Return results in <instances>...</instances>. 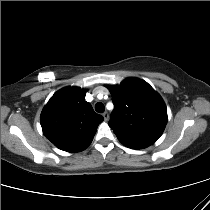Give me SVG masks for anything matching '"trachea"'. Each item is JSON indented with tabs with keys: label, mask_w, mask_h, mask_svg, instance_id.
Returning a JSON list of instances; mask_svg holds the SVG:
<instances>
[{
	"label": "trachea",
	"mask_w": 210,
	"mask_h": 210,
	"mask_svg": "<svg viewBox=\"0 0 210 210\" xmlns=\"http://www.w3.org/2000/svg\"><path fill=\"white\" fill-rule=\"evenodd\" d=\"M95 110H96L98 113H103L104 110H105L104 104L101 103V102L96 103V105H95Z\"/></svg>",
	"instance_id": "1"
}]
</instances>
